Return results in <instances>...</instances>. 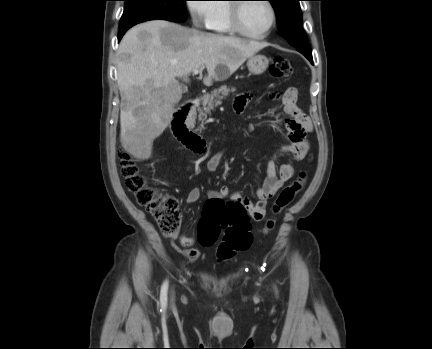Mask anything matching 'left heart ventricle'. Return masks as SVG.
<instances>
[{
    "mask_svg": "<svg viewBox=\"0 0 432 349\" xmlns=\"http://www.w3.org/2000/svg\"><path fill=\"white\" fill-rule=\"evenodd\" d=\"M241 22L248 32L261 34L271 23V12L264 2L247 3L241 9Z\"/></svg>",
    "mask_w": 432,
    "mask_h": 349,
    "instance_id": "b2bd125f",
    "label": "left heart ventricle"
}]
</instances>
